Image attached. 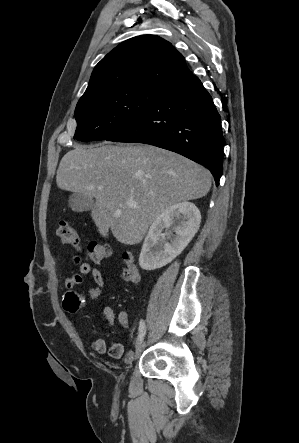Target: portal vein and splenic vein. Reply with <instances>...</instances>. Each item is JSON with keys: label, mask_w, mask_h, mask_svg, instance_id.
Here are the masks:
<instances>
[{"label": "portal vein and splenic vein", "mask_w": 299, "mask_h": 443, "mask_svg": "<svg viewBox=\"0 0 299 443\" xmlns=\"http://www.w3.org/2000/svg\"><path fill=\"white\" fill-rule=\"evenodd\" d=\"M99 189L102 190L103 187H99ZM126 204L128 206H130V207H136V203L134 201H131V200L127 201Z\"/></svg>", "instance_id": "18ae733b"}]
</instances>
